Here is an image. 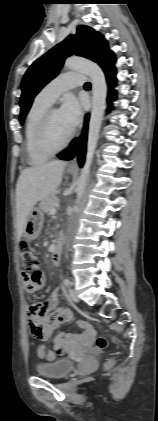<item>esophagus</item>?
<instances>
[{
	"mask_svg": "<svg viewBox=\"0 0 158 421\" xmlns=\"http://www.w3.org/2000/svg\"><path fill=\"white\" fill-rule=\"evenodd\" d=\"M69 167L71 168L77 167V155L69 162Z\"/></svg>",
	"mask_w": 158,
	"mask_h": 421,
	"instance_id": "obj_1",
	"label": "esophagus"
}]
</instances>
